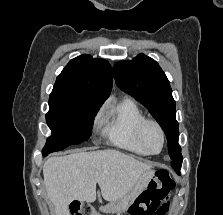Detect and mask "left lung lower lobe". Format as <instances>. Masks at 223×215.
Listing matches in <instances>:
<instances>
[{
  "mask_svg": "<svg viewBox=\"0 0 223 215\" xmlns=\"http://www.w3.org/2000/svg\"><path fill=\"white\" fill-rule=\"evenodd\" d=\"M180 168H181V167H174L175 171H176L178 174H180Z\"/></svg>",
  "mask_w": 223,
  "mask_h": 215,
  "instance_id": "left-lung-lower-lobe-1",
  "label": "left lung lower lobe"
}]
</instances>
